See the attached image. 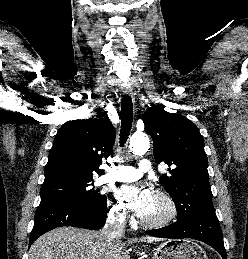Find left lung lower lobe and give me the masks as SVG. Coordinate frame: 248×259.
I'll use <instances>...</instances> for the list:
<instances>
[{
    "mask_svg": "<svg viewBox=\"0 0 248 259\" xmlns=\"http://www.w3.org/2000/svg\"><path fill=\"white\" fill-rule=\"evenodd\" d=\"M150 236L160 238H192L200 240L217 250L223 259H227L223 237L215 212L195 214L169 226L150 230Z\"/></svg>",
    "mask_w": 248,
    "mask_h": 259,
    "instance_id": "left-lung-lower-lobe-1",
    "label": "left lung lower lobe"
}]
</instances>
